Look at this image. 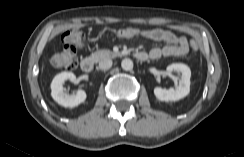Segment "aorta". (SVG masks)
<instances>
[{
	"label": "aorta",
	"mask_w": 244,
	"mask_h": 157,
	"mask_svg": "<svg viewBox=\"0 0 244 157\" xmlns=\"http://www.w3.org/2000/svg\"><path fill=\"white\" fill-rule=\"evenodd\" d=\"M121 67L125 71H130L133 69V61L129 58H125L121 62Z\"/></svg>",
	"instance_id": "1"
}]
</instances>
